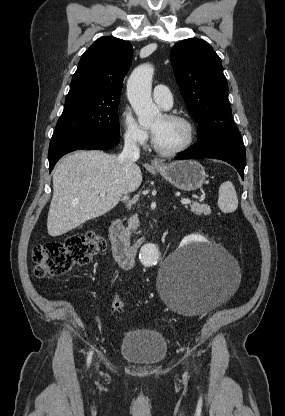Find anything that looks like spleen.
<instances>
[{
    "mask_svg": "<svg viewBox=\"0 0 285 416\" xmlns=\"http://www.w3.org/2000/svg\"><path fill=\"white\" fill-rule=\"evenodd\" d=\"M218 208L224 214H231L238 208V198L231 182H224L219 188Z\"/></svg>",
    "mask_w": 285,
    "mask_h": 416,
    "instance_id": "spleen-1",
    "label": "spleen"
}]
</instances>
